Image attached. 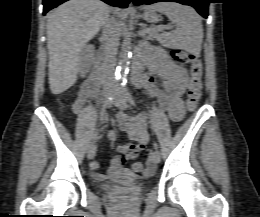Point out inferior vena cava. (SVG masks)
I'll list each match as a JSON object with an SVG mask.
<instances>
[{"label": "inferior vena cava", "mask_w": 260, "mask_h": 217, "mask_svg": "<svg viewBox=\"0 0 260 217\" xmlns=\"http://www.w3.org/2000/svg\"><path fill=\"white\" fill-rule=\"evenodd\" d=\"M121 31L122 22L114 17L109 18L103 27L104 61L102 65V79L106 87L113 86L116 83L114 71Z\"/></svg>", "instance_id": "1"}]
</instances>
